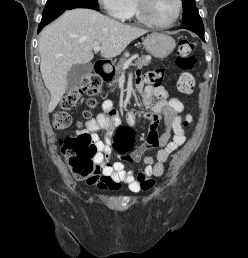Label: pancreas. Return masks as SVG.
Listing matches in <instances>:
<instances>
[{"label": "pancreas", "mask_w": 248, "mask_h": 258, "mask_svg": "<svg viewBox=\"0 0 248 258\" xmlns=\"http://www.w3.org/2000/svg\"><path fill=\"white\" fill-rule=\"evenodd\" d=\"M127 61L126 56L120 59L119 63L115 67V77L112 81L113 84L117 83L119 76L124 72L123 64ZM151 62V57L142 56L135 62V66L142 68L143 66H148Z\"/></svg>", "instance_id": "obj_1"}]
</instances>
